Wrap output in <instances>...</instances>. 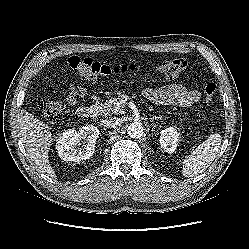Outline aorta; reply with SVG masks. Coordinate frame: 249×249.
Listing matches in <instances>:
<instances>
[{
    "mask_svg": "<svg viewBox=\"0 0 249 249\" xmlns=\"http://www.w3.org/2000/svg\"><path fill=\"white\" fill-rule=\"evenodd\" d=\"M128 135L133 139L141 138L144 134V128L140 122H133L128 126Z\"/></svg>",
    "mask_w": 249,
    "mask_h": 249,
    "instance_id": "obj_1",
    "label": "aorta"
}]
</instances>
